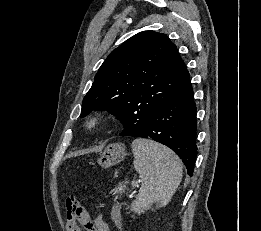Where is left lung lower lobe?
<instances>
[{
    "label": "left lung lower lobe",
    "mask_w": 261,
    "mask_h": 231,
    "mask_svg": "<svg viewBox=\"0 0 261 231\" xmlns=\"http://www.w3.org/2000/svg\"><path fill=\"white\" fill-rule=\"evenodd\" d=\"M189 83L151 116L143 127L124 129L119 136L150 138L171 148L192 175L196 156V104Z\"/></svg>",
    "instance_id": "left-lung-lower-lobe-1"
}]
</instances>
